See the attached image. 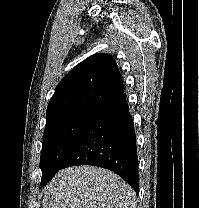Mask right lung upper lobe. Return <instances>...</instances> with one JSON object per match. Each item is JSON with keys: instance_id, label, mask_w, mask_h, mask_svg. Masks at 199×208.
<instances>
[{"instance_id": "cb5924a9", "label": "right lung upper lobe", "mask_w": 199, "mask_h": 208, "mask_svg": "<svg viewBox=\"0 0 199 208\" xmlns=\"http://www.w3.org/2000/svg\"><path fill=\"white\" fill-rule=\"evenodd\" d=\"M123 92L122 77L114 58L104 53L92 55L57 85L46 118L80 107H101Z\"/></svg>"}]
</instances>
